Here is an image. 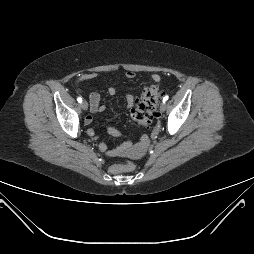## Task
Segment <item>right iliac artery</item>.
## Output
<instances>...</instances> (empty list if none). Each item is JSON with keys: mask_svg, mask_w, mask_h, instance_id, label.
<instances>
[{"mask_svg": "<svg viewBox=\"0 0 254 254\" xmlns=\"http://www.w3.org/2000/svg\"><path fill=\"white\" fill-rule=\"evenodd\" d=\"M77 101H78L79 103H81V102H82V98H81V97H78V98H77Z\"/></svg>", "mask_w": 254, "mask_h": 254, "instance_id": "1", "label": "right iliac artery"}]
</instances>
